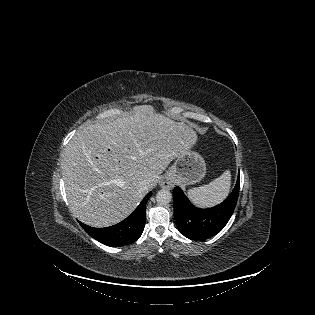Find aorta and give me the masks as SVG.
<instances>
[{
	"label": "aorta",
	"instance_id": "1",
	"mask_svg": "<svg viewBox=\"0 0 315 315\" xmlns=\"http://www.w3.org/2000/svg\"><path fill=\"white\" fill-rule=\"evenodd\" d=\"M171 200H172V194L167 189H162V190L158 191L156 194V201L160 205H166V204L170 203Z\"/></svg>",
	"mask_w": 315,
	"mask_h": 315
}]
</instances>
